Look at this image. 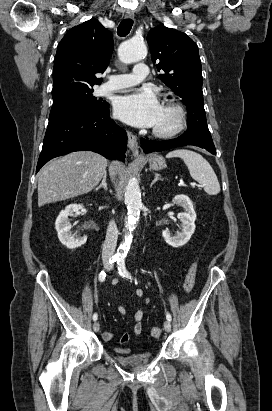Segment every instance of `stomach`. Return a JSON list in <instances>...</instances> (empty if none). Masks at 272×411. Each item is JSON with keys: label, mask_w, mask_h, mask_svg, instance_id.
<instances>
[{"label": "stomach", "mask_w": 272, "mask_h": 411, "mask_svg": "<svg viewBox=\"0 0 272 411\" xmlns=\"http://www.w3.org/2000/svg\"><path fill=\"white\" fill-rule=\"evenodd\" d=\"M148 162L153 170H161L166 167L165 159L161 155H151L148 158Z\"/></svg>", "instance_id": "stomach-1"}]
</instances>
